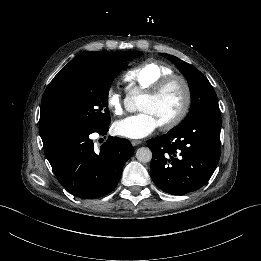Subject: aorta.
<instances>
[{"mask_svg": "<svg viewBox=\"0 0 261 261\" xmlns=\"http://www.w3.org/2000/svg\"><path fill=\"white\" fill-rule=\"evenodd\" d=\"M141 100V95L135 96L137 103ZM136 159L140 163H148L152 159V152L148 147H141L136 151Z\"/></svg>", "mask_w": 261, "mask_h": 261, "instance_id": "762f6f07", "label": "aorta"}]
</instances>
